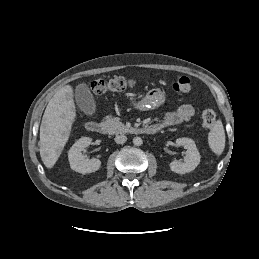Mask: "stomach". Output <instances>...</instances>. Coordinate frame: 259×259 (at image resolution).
I'll return each instance as SVG.
<instances>
[{
  "instance_id": "0dacf381",
  "label": "stomach",
  "mask_w": 259,
  "mask_h": 259,
  "mask_svg": "<svg viewBox=\"0 0 259 259\" xmlns=\"http://www.w3.org/2000/svg\"><path fill=\"white\" fill-rule=\"evenodd\" d=\"M166 101V94L160 88L149 90L146 95L138 102L133 103L134 108L148 111L162 106Z\"/></svg>"
}]
</instances>
